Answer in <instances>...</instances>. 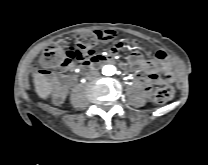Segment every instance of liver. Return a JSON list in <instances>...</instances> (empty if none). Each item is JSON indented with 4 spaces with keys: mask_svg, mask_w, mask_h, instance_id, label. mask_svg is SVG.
I'll list each match as a JSON object with an SVG mask.
<instances>
[{
    "mask_svg": "<svg viewBox=\"0 0 208 165\" xmlns=\"http://www.w3.org/2000/svg\"><path fill=\"white\" fill-rule=\"evenodd\" d=\"M35 90L38 96L42 99L48 98L51 93V84L48 82L47 78L43 75L37 73L34 77Z\"/></svg>",
    "mask_w": 208,
    "mask_h": 165,
    "instance_id": "1",
    "label": "liver"
}]
</instances>
